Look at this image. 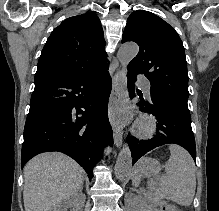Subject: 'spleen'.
<instances>
[{
	"instance_id": "spleen-1",
	"label": "spleen",
	"mask_w": 219,
	"mask_h": 211,
	"mask_svg": "<svg viewBox=\"0 0 219 211\" xmlns=\"http://www.w3.org/2000/svg\"><path fill=\"white\" fill-rule=\"evenodd\" d=\"M171 155L164 165L166 175L160 179L158 195L176 201L179 205H190L196 189L195 163L188 151L171 143ZM140 175L133 173L132 183L138 185Z\"/></svg>"
}]
</instances>
